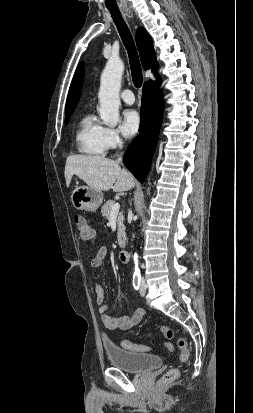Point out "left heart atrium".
Wrapping results in <instances>:
<instances>
[{"label":"left heart atrium","mask_w":253,"mask_h":413,"mask_svg":"<svg viewBox=\"0 0 253 413\" xmlns=\"http://www.w3.org/2000/svg\"><path fill=\"white\" fill-rule=\"evenodd\" d=\"M140 124L139 113L134 109H128L123 112L120 130L126 138H131L139 131Z\"/></svg>","instance_id":"obj_1"}]
</instances>
